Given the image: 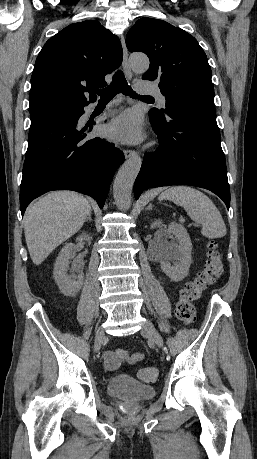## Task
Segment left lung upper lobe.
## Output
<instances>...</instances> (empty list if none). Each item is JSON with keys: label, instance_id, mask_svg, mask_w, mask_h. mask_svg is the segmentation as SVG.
<instances>
[{"label": "left lung upper lobe", "instance_id": "1", "mask_svg": "<svg viewBox=\"0 0 257 459\" xmlns=\"http://www.w3.org/2000/svg\"><path fill=\"white\" fill-rule=\"evenodd\" d=\"M126 46L150 59L143 79L159 81L166 99L165 110L150 114L163 116L186 103L214 101V87L207 56L197 40L186 31L157 19L141 18L129 30Z\"/></svg>", "mask_w": 257, "mask_h": 459}]
</instances>
